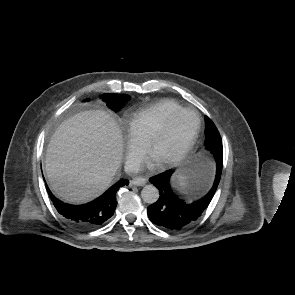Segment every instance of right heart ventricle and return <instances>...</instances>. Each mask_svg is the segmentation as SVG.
Returning <instances> with one entry per match:
<instances>
[{
    "instance_id": "obj_1",
    "label": "right heart ventricle",
    "mask_w": 295,
    "mask_h": 295,
    "mask_svg": "<svg viewBox=\"0 0 295 295\" xmlns=\"http://www.w3.org/2000/svg\"><path fill=\"white\" fill-rule=\"evenodd\" d=\"M182 109L184 108L179 103L168 99L146 107L133 114L128 120L130 135L146 146L163 124Z\"/></svg>"
}]
</instances>
